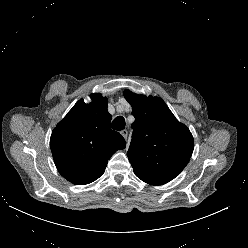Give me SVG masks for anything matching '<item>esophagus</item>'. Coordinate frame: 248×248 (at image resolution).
Instances as JSON below:
<instances>
[{
  "instance_id": "34e87169",
  "label": "esophagus",
  "mask_w": 248,
  "mask_h": 248,
  "mask_svg": "<svg viewBox=\"0 0 248 248\" xmlns=\"http://www.w3.org/2000/svg\"><path fill=\"white\" fill-rule=\"evenodd\" d=\"M120 134L123 136V138L124 139H127V136H128V131L127 130H122L121 132H120Z\"/></svg>"
}]
</instances>
